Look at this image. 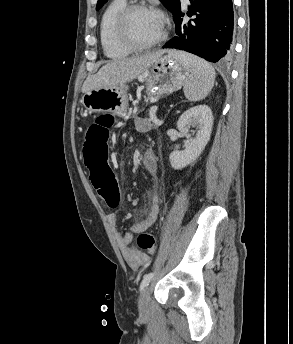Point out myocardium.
I'll return each instance as SVG.
<instances>
[{
	"mask_svg": "<svg viewBox=\"0 0 293 344\" xmlns=\"http://www.w3.org/2000/svg\"><path fill=\"white\" fill-rule=\"evenodd\" d=\"M138 11H149L157 14L163 24V32L159 38L147 43H141L132 38L129 32V21L131 16ZM168 22L164 14L143 2H135L125 6L118 14L115 21V34L117 40L132 51H145L164 43L168 37Z\"/></svg>",
	"mask_w": 293,
	"mask_h": 344,
	"instance_id": "f54148a6",
	"label": "myocardium"
}]
</instances>
